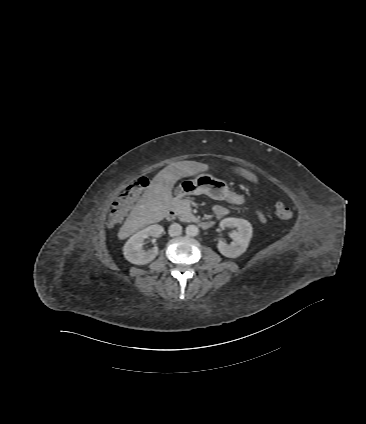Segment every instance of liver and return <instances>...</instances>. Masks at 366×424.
<instances>
[{
    "label": "liver",
    "instance_id": "6515ba94",
    "mask_svg": "<svg viewBox=\"0 0 366 424\" xmlns=\"http://www.w3.org/2000/svg\"><path fill=\"white\" fill-rule=\"evenodd\" d=\"M209 166L196 161H180L162 169L150 182L149 186L136 203L123 226L118 232L120 240L130 237L147 225L160 222L165 218L173 204L172 188L184 177L208 171ZM241 175L251 182H257V177L242 168H237Z\"/></svg>",
    "mask_w": 366,
    "mask_h": 424
}]
</instances>
